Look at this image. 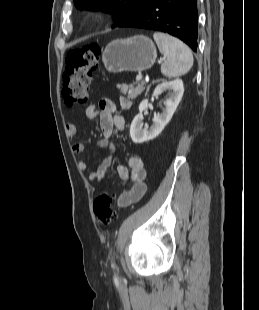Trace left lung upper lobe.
<instances>
[{
	"label": "left lung upper lobe",
	"mask_w": 259,
	"mask_h": 310,
	"mask_svg": "<svg viewBox=\"0 0 259 310\" xmlns=\"http://www.w3.org/2000/svg\"><path fill=\"white\" fill-rule=\"evenodd\" d=\"M152 0H74L77 9L101 10L112 14L113 27Z\"/></svg>",
	"instance_id": "5c2ea615"
}]
</instances>
